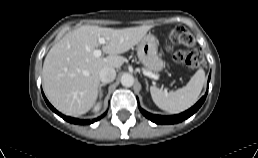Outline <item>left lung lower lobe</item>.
I'll use <instances>...</instances> for the list:
<instances>
[{"mask_svg":"<svg viewBox=\"0 0 258 158\" xmlns=\"http://www.w3.org/2000/svg\"><path fill=\"white\" fill-rule=\"evenodd\" d=\"M209 81H210V75H209V79H208V84H209ZM206 95H207V92L193 107H191L189 110H187L181 114H178V115L161 116V115L151 114L141 108H140V110L146 118H148L152 122H155L156 124L179 123V122H182L183 120L189 118L190 116H192L202 106L203 102L206 99Z\"/></svg>","mask_w":258,"mask_h":158,"instance_id":"0a47b994","label":"left lung lower lobe"}]
</instances>
